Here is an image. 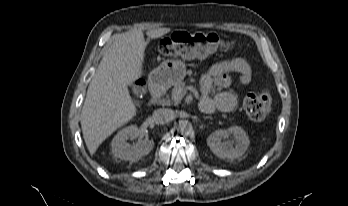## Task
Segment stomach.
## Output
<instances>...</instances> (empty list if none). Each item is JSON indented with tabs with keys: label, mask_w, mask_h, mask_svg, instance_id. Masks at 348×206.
<instances>
[{
	"label": "stomach",
	"mask_w": 348,
	"mask_h": 206,
	"mask_svg": "<svg viewBox=\"0 0 348 206\" xmlns=\"http://www.w3.org/2000/svg\"><path fill=\"white\" fill-rule=\"evenodd\" d=\"M185 57L203 59L207 56L210 47L217 45L216 42L207 40V35H187L186 42L181 43ZM186 75L185 63L179 59H168L162 62L151 73L152 77L162 86H171L181 82Z\"/></svg>",
	"instance_id": "0dacf381"
}]
</instances>
